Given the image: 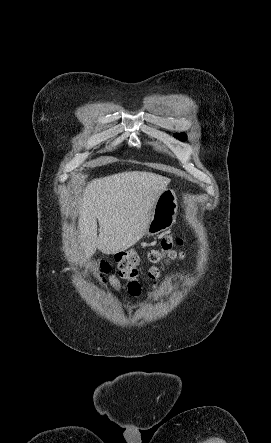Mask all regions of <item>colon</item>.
Listing matches in <instances>:
<instances>
[{
	"label": "colon",
	"mask_w": 271,
	"mask_h": 443,
	"mask_svg": "<svg viewBox=\"0 0 271 443\" xmlns=\"http://www.w3.org/2000/svg\"><path fill=\"white\" fill-rule=\"evenodd\" d=\"M182 244V239L168 236L162 239L159 248L150 251L149 260L154 264L149 270L151 279L157 280L160 275L158 264L184 257V254L177 250V247ZM113 258L117 263L119 276L127 283L128 293L132 296L140 295L141 287L138 282L140 257L137 252L134 250L119 251L113 255Z\"/></svg>",
	"instance_id": "1"
}]
</instances>
